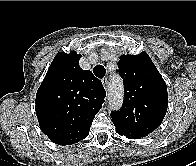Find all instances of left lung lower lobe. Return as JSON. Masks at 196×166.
Wrapping results in <instances>:
<instances>
[{
	"label": "left lung lower lobe",
	"instance_id": "obj_1",
	"mask_svg": "<svg viewBox=\"0 0 196 166\" xmlns=\"http://www.w3.org/2000/svg\"><path fill=\"white\" fill-rule=\"evenodd\" d=\"M116 131H117V133H118L119 135H121V136H126V137L129 138V139H139L138 137L133 136V135H131V134L125 132V131H122V130L119 129V128H116Z\"/></svg>",
	"mask_w": 196,
	"mask_h": 166
}]
</instances>
